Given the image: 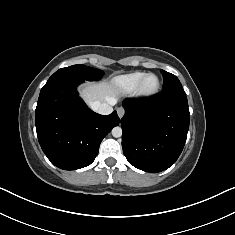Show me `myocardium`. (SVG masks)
<instances>
[{"instance_id": "obj_1", "label": "myocardium", "mask_w": 235, "mask_h": 235, "mask_svg": "<svg viewBox=\"0 0 235 235\" xmlns=\"http://www.w3.org/2000/svg\"><path fill=\"white\" fill-rule=\"evenodd\" d=\"M151 76H153V77L156 78V85H155V87H154L153 89H151V90H146V89L144 88V83H145V81L147 80V78H149V77H151ZM160 86H161V83H160L159 77H158L156 74H154V73H147V74H145V75L142 77V79L140 80V82H139V84H138V86H137V88H136V90H135V94H136L137 96H141V97L153 96V95H155V94L158 93V91L160 90Z\"/></svg>"}]
</instances>
